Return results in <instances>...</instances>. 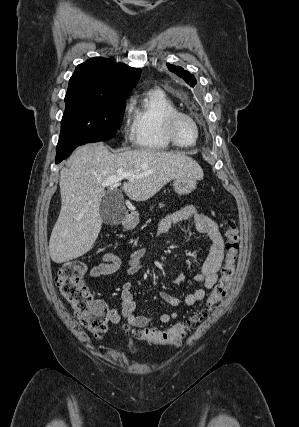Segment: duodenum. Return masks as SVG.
<instances>
[{
  "instance_id": "obj_1",
  "label": "duodenum",
  "mask_w": 299,
  "mask_h": 427,
  "mask_svg": "<svg viewBox=\"0 0 299 427\" xmlns=\"http://www.w3.org/2000/svg\"><path fill=\"white\" fill-rule=\"evenodd\" d=\"M132 215H133L132 211L127 212L126 221H125L126 224L130 222Z\"/></svg>"
}]
</instances>
